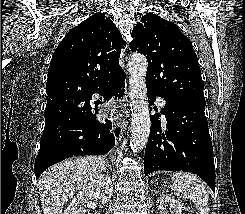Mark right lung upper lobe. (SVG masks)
Segmentation results:
<instances>
[{
  "label": "right lung upper lobe",
  "mask_w": 245,
  "mask_h": 214,
  "mask_svg": "<svg viewBox=\"0 0 245 214\" xmlns=\"http://www.w3.org/2000/svg\"><path fill=\"white\" fill-rule=\"evenodd\" d=\"M123 43L119 30L103 13L70 30L51 59L46 100L64 95L71 109L77 110L94 93L106 91L124 74L119 65Z\"/></svg>",
  "instance_id": "1"
}]
</instances>
